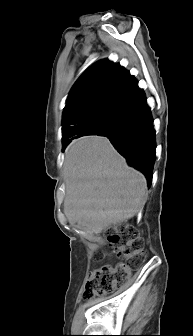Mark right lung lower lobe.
Segmentation results:
<instances>
[{
    "instance_id": "obj_1",
    "label": "right lung lower lobe",
    "mask_w": 193,
    "mask_h": 336,
    "mask_svg": "<svg viewBox=\"0 0 193 336\" xmlns=\"http://www.w3.org/2000/svg\"><path fill=\"white\" fill-rule=\"evenodd\" d=\"M96 135L106 136L130 166L143 172L151 186L156 158L155 130L145 94L136 80L118 99Z\"/></svg>"
}]
</instances>
